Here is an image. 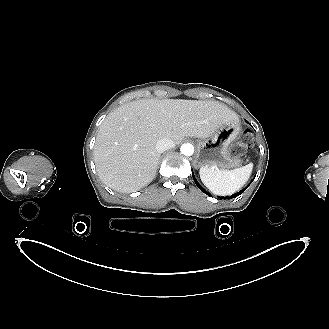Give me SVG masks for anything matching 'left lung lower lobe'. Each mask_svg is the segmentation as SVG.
<instances>
[{"mask_svg":"<svg viewBox=\"0 0 329 329\" xmlns=\"http://www.w3.org/2000/svg\"><path fill=\"white\" fill-rule=\"evenodd\" d=\"M192 177H193V179H194L195 184L197 185V187H198L203 193H206L207 195L210 196V194L207 193V192L204 190V188H202V187L200 186V184L197 182V180L195 179L193 173H192ZM247 187H248V186H247ZM247 187H245L244 189H242L241 191L237 192L236 194H234V195H232V196L221 197V199H231V198H235V197L239 196L240 194H242V193L246 190Z\"/></svg>","mask_w":329,"mask_h":329,"instance_id":"0a47b994","label":"left lung lower lobe"}]
</instances>
